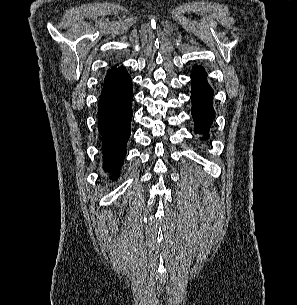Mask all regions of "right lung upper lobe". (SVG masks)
<instances>
[{"instance_id": "obj_1", "label": "right lung upper lobe", "mask_w": 297, "mask_h": 305, "mask_svg": "<svg viewBox=\"0 0 297 305\" xmlns=\"http://www.w3.org/2000/svg\"><path fill=\"white\" fill-rule=\"evenodd\" d=\"M117 69L116 66L112 67L110 70H108V72H111L113 70Z\"/></svg>"}]
</instances>
